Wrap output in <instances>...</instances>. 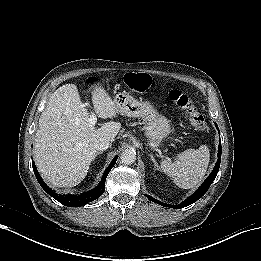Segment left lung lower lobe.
<instances>
[{
  "label": "left lung lower lobe",
  "mask_w": 261,
  "mask_h": 261,
  "mask_svg": "<svg viewBox=\"0 0 261 261\" xmlns=\"http://www.w3.org/2000/svg\"><path fill=\"white\" fill-rule=\"evenodd\" d=\"M217 126V125H216ZM221 159V141L219 143V149H218V160L216 162V165L213 169V171L211 172V174L209 175V177L204 181V183L199 187V189L190 197H188L184 202H182L179 205H169V204H165L160 202L159 200L154 199L151 196H147V198L157 204H160L164 207H172V208H176V209H180L186 206L191 205L192 203L196 202L197 200H199L208 190V188L210 187V185L212 184V182L214 181L219 167H220V160Z\"/></svg>",
  "instance_id": "obj_1"
}]
</instances>
